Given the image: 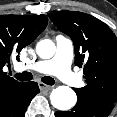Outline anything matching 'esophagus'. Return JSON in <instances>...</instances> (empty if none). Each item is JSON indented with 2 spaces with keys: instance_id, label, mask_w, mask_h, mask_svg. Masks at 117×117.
<instances>
[{
  "instance_id": "1",
  "label": "esophagus",
  "mask_w": 117,
  "mask_h": 117,
  "mask_svg": "<svg viewBox=\"0 0 117 117\" xmlns=\"http://www.w3.org/2000/svg\"><path fill=\"white\" fill-rule=\"evenodd\" d=\"M39 88L41 91H49L52 89V86L46 85L42 82L39 83Z\"/></svg>"
}]
</instances>
